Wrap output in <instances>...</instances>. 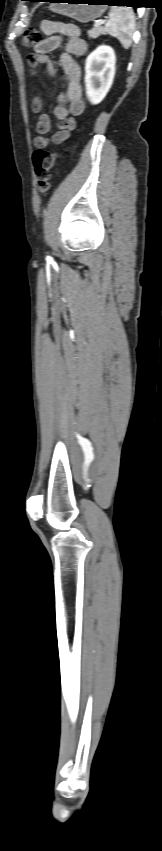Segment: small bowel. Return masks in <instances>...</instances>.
<instances>
[{"label": "small bowel", "mask_w": 162, "mask_h": 851, "mask_svg": "<svg viewBox=\"0 0 162 851\" xmlns=\"http://www.w3.org/2000/svg\"><path fill=\"white\" fill-rule=\"evenodd\" d=\"M41 29L46 38L34 46V51L27 58V64L31 69L37 65H45L49 74H57L55 64L50 59L49 53L57 49L65 39V53L60 57V66L67 81L65 92L58 97V104L53 109V115L58 121L59 130L52 136H45L51 128V118L47 113H42L43 100L36 95L31 102V111L40 114L35 123V130L39 134L34 139L36 148L63 145L75 129L74 117L79 116L85 109L82 98L81 68L75 61L74 56H82L87 51V43L81 37L80 29L71 23L60 20H43Z\"/></svg>", "instance_id": "c3829d8e"}]
</instances>
